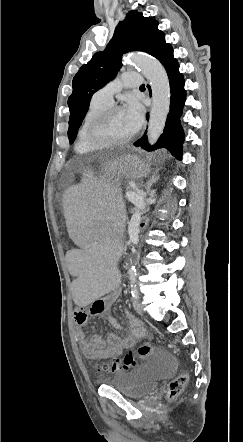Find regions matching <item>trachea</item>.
<instances>
[{
  "mask_svg": "<svg viewBox=\"0 0 243 442\" xmlns=\"http://www.w3.org/2000/svg\"><path fill=\"white\" fill-rule=\"evenodd\" d=\"M140 88H145V85H141Z\"/></svg>",
  "mask_w": 243,
  "mask_h": 442,
  "instance_id": "trachea-1",
  "label": "trachea"
}]
</instances>
